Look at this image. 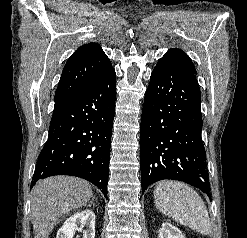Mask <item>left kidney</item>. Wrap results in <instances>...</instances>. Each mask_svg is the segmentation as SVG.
I'll use <instances>...</instances> for the list:
<instances>
[{
    "label": "left kidney",
    "mask_w": 247,
    "mask_h": 238,
    "mask_svg": "<svg viewBox=\"0 0 247 238\" xmlns=\"http://www.w3.org/2000/svg\"><path fill=\"white\" fill-rule=\"evenodd\" d=\"M158 238H185L182 232L171 225L170 223H163L159 230Z\"/></svg>",
    "instance_id": "5707ae66"
}]
</instances>
